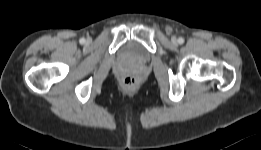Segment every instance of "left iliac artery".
<instances>
[{"label": "left iliac artery", "instance_id": "44dca946", "mask_svg": "<svg viewBox=\"0 0 261 150\" xmlns=\"http://www.w3.org/2000/svg\"><path fill=\"white\" fill-rule=\"evenodd\" d=\"M178 43H179V44H183V43H184V39H183L182 37H180V38L178 39Z\"/></svg>", "mask_w": 261, "mask_h": 150}]
</instances>
